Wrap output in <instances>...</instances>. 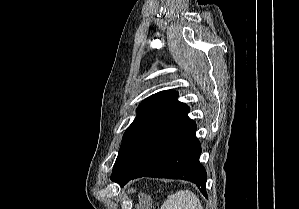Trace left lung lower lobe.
Listing matches in <instances>:
<instances>
[{"instance_id":"obj_1","label":"left lung lower lobe","mask_w":299,"mask_h":209,"mask_svg":"<svg viewBox=\"0 0 299 209\" xmlns=\"http://www.w3.org/2000/svg\"><path fill=\"white\" fill-rule=\"evenodd\" d=\"M189 107L176 96L145 119L121 145L111 180L124 186L138 177L188 180L206 194L201 145Z\"/></svg>"}]
</instances>
